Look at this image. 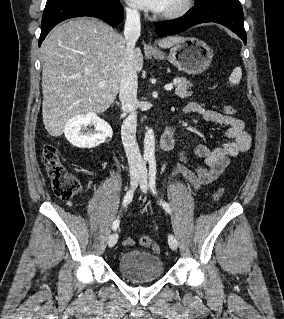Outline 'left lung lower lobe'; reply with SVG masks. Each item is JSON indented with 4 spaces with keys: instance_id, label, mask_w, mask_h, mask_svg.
Masks as SVG:
<instances>
[{
    "instance_id": "obj_1",
    "label": "left lung lower lobe",
    "mask_w": 284,
    "mask_h": 319,
    "mask_svg": "<svg viewBox=\"0 0 284 319\" xmlns=\"http://www.w3.org/2000/svg\"><path fill=\"white\" fill-rule=\"evenodd\" d=\"M244 15L239 0H208L196 3L184 16L157 22L155 29L160 37L170 36L206 22H215L232 30L246 44Z\"/></svg>"
}]
</instances>
